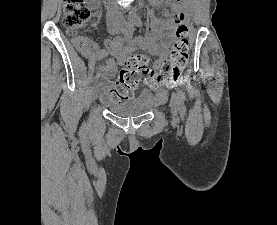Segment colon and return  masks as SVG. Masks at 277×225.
Instances as JSON below:
<instances>
[{
    "instance_id": "colon-1",
    "label": "colon",
    "mask_w": 277,
    "mask_h": 225,
    "mask_svg": "<svg viewBox=\"0 0 277 225\" xmlns=\"http://www.w3.org/2000/svg\"><path fill=\"white\" fill-rule=\"evenodd\" d=\"M179 1V0H178ZM90 20V10L85 0H63V25L70 35H73L74 44L85 49L90 45L86 37L77 35L84 29ZM176 27V40L172 46L170 57L160 69L154 73L155 84L175 83L185 68L189 57L188 27L185 24V15L176 12L174 16ZM149 72V57L144 54H132L125 58L120 69L119 77L110 88L108 98L112 102L130 100L138 88L142 77Z\"/></svg>"
}]
</instances>
